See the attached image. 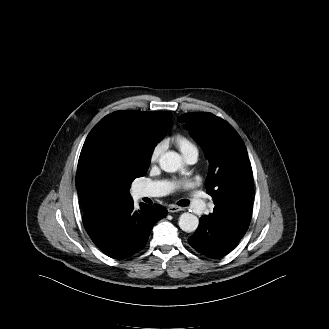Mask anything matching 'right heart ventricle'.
<instances>
[{
  "mask_svg": "<svg viewBox=\"0 0 329 329\" xmlns=\"http://www.w3.org/2000/svg\"><path fill=\"white\" fill-rule=\"evenodd\" d=\"M171 141L174 143V145L181 151L183 156L186 158L191 152L194 150H197V147L195 144L190 141L187 137L176 134L171 138Z\"/></svg>",
  "mask_w": 329,
  "mask_h": 329,
  "instance_id": "1",
  "label": "right heart ventricle"
}]
</instances>
